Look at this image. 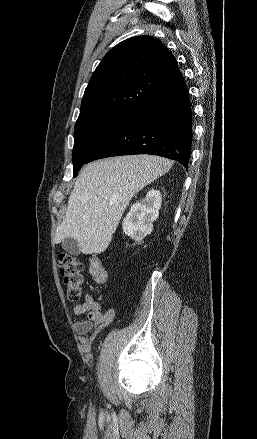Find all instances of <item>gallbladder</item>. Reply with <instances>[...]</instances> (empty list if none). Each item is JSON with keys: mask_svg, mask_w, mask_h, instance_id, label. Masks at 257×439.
<instances>
[{"mask_svg": "<svg viewBox=\"0 0 257 439\" xmlns=\"http://www.w3.org/2000/svg\"><path fill=\"white\" fill-rule=\"evenodd\" d=\"M62 248L72 255H78L80 253L77 245V241L74 238H66L62 241Z\"/></svg>", "mask_w": 257, "mask_h": 439, "instance_id": "obj_1", "label": "gallbladder"}]
</instances>
